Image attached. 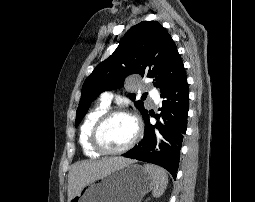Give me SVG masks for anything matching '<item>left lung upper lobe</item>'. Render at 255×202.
I'll return each instance as SVG.
<instances>
[{"mask_svg":"<svg viewBox=\"0 0 255 202\" xmlns=\"http://www.w3.org/2000/svg\"><path fill=\"white\" fill-rule=\"evenodd\" d=\"M184 71L176 45L163 26L157 21L138 23L127 31L113 54L100 63L85 80L75 126L101 92L121 87L128 75H146L163 92ZM129 97L134 100L135 94H130ZM135 105L143 116L148 112L142 101H136Z\"/></svg>","mask_w":255,"mask_h":202,"instance_id":"1","label":"left lung upper lobe"}]
</instances>
